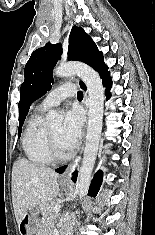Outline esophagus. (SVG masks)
Wrapping results in <instances>:
<instances>
[{"label": "esophagus", "mask_w": 155, "mask_h": 235, "mask_svg": "<svg viewBox=\"0 0 155 235\" xmlns=\"http://www.w3.org/2000/svg\"><path fill=\"white\" fill-rule=\"evenodd\" d=\"M84 107L87 113L88 112V97L86 94L84 95ZM78 161H79V156L67 166L65 172L60 177L61 181L69 182L71 180V174L74 171L75 166L77 165Z\"/></svg>", "instance_id": "esophagus-1"}]
</instances>
